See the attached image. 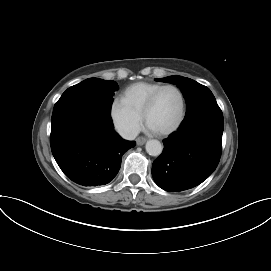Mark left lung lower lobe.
Here are the masks:
<instances>
[{"label": "left lung lower lobe", "instance_id": "1", "mask_svg": "<svg viewBox=\"0 0 271 271\" xmlns=\"http://www.w3.org/2000/svg\"><path fill=\"white\" fill-rule=\"evenodd\" d=\"M224 120L218 105L185 116L179 129L163 140L152 175L165 191H183L206 180L216 169L222 149Z\"/></svg>", "mask_w": 271, "mask_h": 271}]
</instances>
